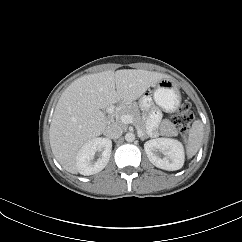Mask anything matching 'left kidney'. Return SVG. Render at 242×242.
I'll return each instance as SVG.
<instances>
[{"instance_id":"left-kidney-1","label":"left kidney","mask_w":242,"mask_h":242,"mask_svg":"<svg viewBox=\"0 0 242 242\" xmlns=\"http://www.w3.org/2000/svg\"><path fill=\"white\" fill-rule=\"evenodd\" d=\"M144 149L149 161L160 169L175 171L182 168L184 164L185 152L182 143L178 140L151 139L145 142Z\"/></svg>"}]
</instances>
